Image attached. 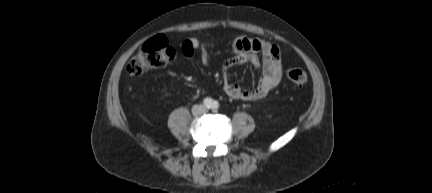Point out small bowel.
<instances>
[{
  "label": "small bowel",
  "instance_id": "small-bowel-1",
  "mask_svg": "<svg viewBox=\"0 0 432 193\" xmlns=\"http://www.w3.org/2000/svg\"><path fill=\"white\" fill-rule=\"evenodd\" d=\"M206 43L198 38H188L180 43L183 54L192 59L197 50L203 49ZM235 55L223 65V90L231 98L244 101H257L266 97L271 89L278 85L282 78V62L280 48L264 40L239 36L233 45ZM206 65L210 64L207 53L202 52ZM248 62L261 70L256 87L246 90L232 83L227 78L229 69L239 63Z\"/></svg>",
  "mask_w": 432,
  "mask_h": 193
}]
</instances>
